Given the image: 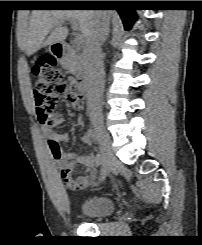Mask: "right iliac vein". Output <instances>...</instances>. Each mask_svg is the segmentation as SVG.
I'll use <instances>...</instances> for the list:
<instances>
[{"label":"right iliac vein","instance_id":"1","mask_svg":"<svg viewBox=\"0 0 202 245\" xmlns=\"http://www.w3.org/2000/svg\"><path fill=\"white\" fill-rule=\"evenodd\" d=\"M92 125L96 129L98 141L101 146L103 155H104V162H103V169H102V179H104L112 169L113 162L116 160L114 156L111 139L108 133L102 128L101 121L97 119H91Z\"/></svg>","mask_w":202,"mask_h":245}]
</instances>
